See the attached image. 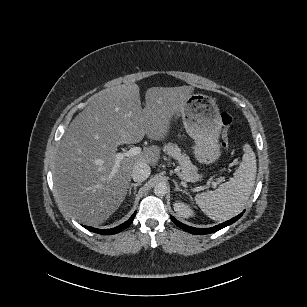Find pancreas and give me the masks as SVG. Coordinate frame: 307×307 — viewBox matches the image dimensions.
Masks as SVG:
<instances>
[{
  "instance_id": "pancreas-1",
  "label": "pancreas",
  "mask_w": 307,
  "mask_h": 307,
  "mask_svg": "<svg viewBox=\"0 0 307 307\" xmlns=\"http://www.w3.org/2000/svg\"><path fill=\"white\" fill-rule=\"evenodd\" d=\"M164 152L178 161L181 169L177 174L179 178L191 182L200 180L201 175L198 174V168L192 164L186 154L181 152L177 144L171 142L167 143L164 146Z\"/></svg>"
}]
</instances>
